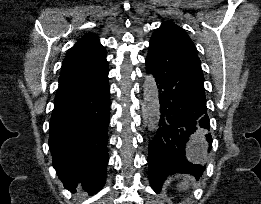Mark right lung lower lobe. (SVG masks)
<instances>
[{"label":"right lung lower lobe","instance_id":"1","mask_svg":"<svg viewBox=\"0 0 261 204\" xmlns=\"http://www.w3.org/2000/svg\"><path fill=\"white\" fill-rule=\"evenodd\" d=\"M110 88L106 60L62 74L50 120L53 166L65 188L101 190L106 179Z\"/></svg>","mask_w":261,"mask_h":204}]
</instances>
